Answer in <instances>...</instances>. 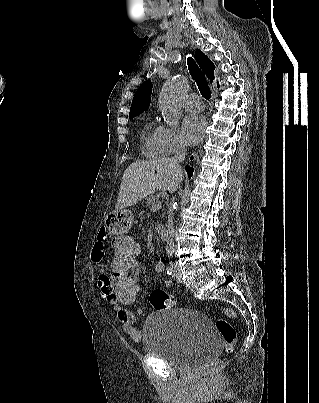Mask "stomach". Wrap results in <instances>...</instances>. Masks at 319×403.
<instances>
[{"label":"stomach","mask_w":319,"mask_h":403,"mask_svg":"<svg viewBox=\"0 0 319 403\" xmlns=\"http://www.w3.org/2000/svg\"><path fill=\"white\" fill-rule=\"evenodd\" d=\"M105 226L111 234H130L134 227L132 212L116 210L110 212L105 219Z\"/></svg>","instance_id":"stomach-1"}]
</instances>
